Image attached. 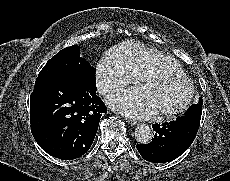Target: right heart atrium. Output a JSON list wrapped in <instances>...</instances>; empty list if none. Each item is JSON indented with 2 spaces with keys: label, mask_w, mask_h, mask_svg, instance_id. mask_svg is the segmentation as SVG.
I'll use <instances>...</instances> for the list:
<instances>
[{
  "label": "right heart atrium",
  "mask_w": 230,
  "mask_h": 181,
  "mask_svg": "<svg viewBox=\"0 0 230 181\" xmlns=\"http://www.w3.org/2000/svg\"><path fill=\"white\" fill-rule=\"evenodd\" d=\"M135 81V78L124 68L110 63L107 55L97 64L96 84L99 91L103 94L117 92L125 85Z\"/></svg>",
  "instance_id": "1"
}]
</instances>
